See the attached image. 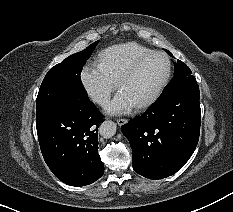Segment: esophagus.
I'll return each instance as SVG.
<instances>
[{
	"instance_id": "1",
	"label": "esophagus",
	"mask_w": 233,
	"mask_h": 212,
	"mask_svg": "<svg viewBox=\"0 0 233 212\" xmlns=\"http://www.w3.org/2000/svg\"><path fill=\"white\" fill-rule=\"evenodd\" d=\"M128 122V120L127 119H117V124L119 125V126H122V125H124L125 123H127Z\"/></svg>"
}]
</instances>
